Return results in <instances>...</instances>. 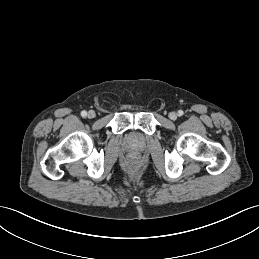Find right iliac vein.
Segmentation results:
<instances>
[{
    "label": "right iliac vein",
    "instance_id": "obj_1",
    "mask_svg": "<svg viewBox=\"0 0 259 259\" xmlns=\"http://www.w3.org/2000/svg\"><path fill=\"white\" fill-rule=\"evenodd\" d=\"M87 116H88L89 119H93L96 116V114H95L94 111L91 110V111L88 112Z\"/></svg>",
    "mask_w": 259,
    "mask_h": 259
}]
</instances>
